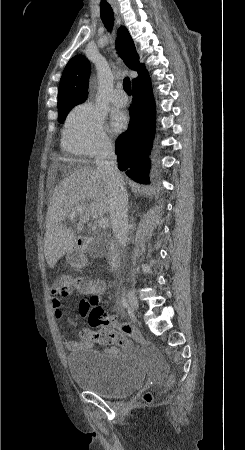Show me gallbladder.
I'll use <instances>...</instances> for the list:
<instances>
[{
    "instance_id": "bac80fb5",
    "label": "gallbladder",
    "mask_w": 245,
    "mask_h": 450,
    "mask_svg": "<svg viewBox=\"0 0 245 450\" xmlns=\"http://www.w3.org/2000/svg\"><path fill=\"white\" fill-rule=\"evenodd\" d=\"M94 253H96V254H100V253H101V251H100L99 249H94Z\"/></svg>"
}]
</instances>
